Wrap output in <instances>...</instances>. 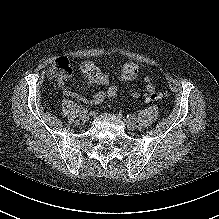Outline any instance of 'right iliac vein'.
<instances>
[{
    "label": "right iliac vein",
    "mask_w": 219,
    "mask_h": 219,
    "mask_svg": "<svg viewBox=\"0 0 219 219\" xmlns=\"http://www.w3.org/2000/svg\"><path fill=\"white\" fill-rule=\"evenodd\" d=\"M89 118H90V115L87 114V113L81 115V120H82L83 122L88 121Z\"/></svg>",
    "instance_id": "right-iliac-vein-1"
}]
</instances>
